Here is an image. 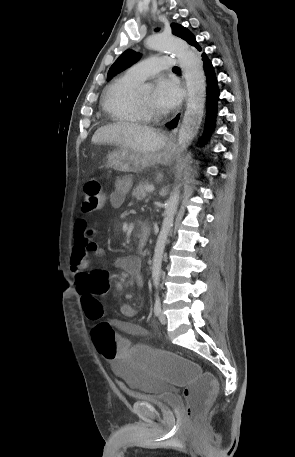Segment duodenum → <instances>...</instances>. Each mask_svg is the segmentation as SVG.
<instances>
[{
	"instance_id": "1",
	"label": "duodenum",
	"mask_w": 295,
	"mask_h": 457,
	"mask_svg": "<svg viewBox=\"0 0 295 457\" xmlns=\"http://www.w3.org/2000/svg\"><path fill=\"white\" fill-rule=\"evenodd\" d=\"M150 230L149 227L143 222L139 223V247L143 248L149 238Z\"/></svg>"
}]
</instances>
